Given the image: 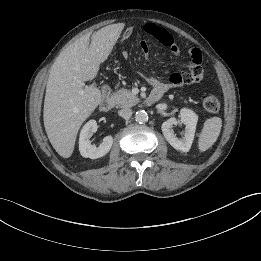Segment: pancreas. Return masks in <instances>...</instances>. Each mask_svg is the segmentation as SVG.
Masks as SVG:
<instances>
[{
    "label": "pancreas",
    "mask_w": 261,
    "mask_h": 261,
    "mask_svg": "<svg viewBox=\"0 0 261 261\" xmlns=\"http://www.w3.org/2000/svg\"><path fill=\"white\" fill-rule=\"evenodd\" d=\"M116 107H132L139 102V98L134 95L129 89L121 88L111 95Z\"/></svg>",
    "instance_id": "1"
}]
</instances>
